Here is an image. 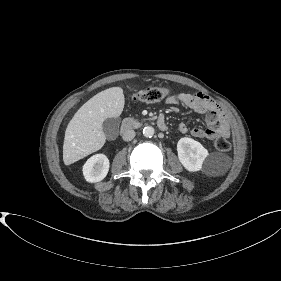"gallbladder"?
Masks as SVG:
<instances>
[{"label":"gallbladder","instance_id":"bac80fb5","mask_svg":"<svg viewBox=\"0 0 281 281\" xmlns=\"http://www.w3.org/2000/svg\"><path fill=\"white\" fill-rule=\"evenodd\" d=\"M120 120L118 118H108L103 122V132L108 139H113L119 131Z\"/></svg>","mask_w":281,"mask_h":281}]
</instances>
